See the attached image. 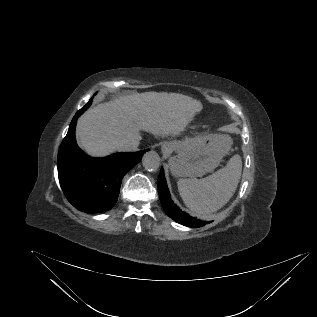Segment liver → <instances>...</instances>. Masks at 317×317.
<instances>
[{"mask_svg":"<svg viewBox=\"0 0 317 317\" xmlns=\"http://www.w3.org/2000/svg\"><path fill=\"white\" fill-rule=\"evenodd\" d=\"M203 106L180 93L145 92L120 96L87 110L77 122L76 135L91 156H107L120 143L139 141L141 131L178 136Z\"/></svg>","mask_w":317,"mask_h":317,"instance_id":"liver-1","label":"liver"}]
</instances>
